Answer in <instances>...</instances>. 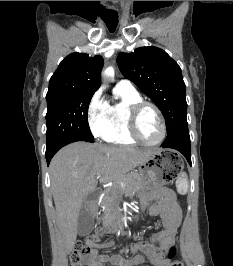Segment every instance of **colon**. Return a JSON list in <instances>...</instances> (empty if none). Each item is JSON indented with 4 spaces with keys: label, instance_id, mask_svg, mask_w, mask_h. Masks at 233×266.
I'll return each mask as SVG.
<instances>
[{
    "label": "colon",
    "instance_id": "obj_1",
    "mask_svg": "<svg viewBox=\"0 0 233 266\" xmlns=\"http://www.w3.org/2000/svg\"><path fill=\"white\" fill-rule=\"evenodd\" d=\"M103 232L98 230L95 231L90 236L86 237L84 240H80L76 243L75 249L70 257V264L71 266H82V256L89 253L91 246L98 242L102 237ZM175 255V248L171 246L167 249V257L169 259H173ZM169 266H184L183 263L179 260L171 261Z\"/></svg>",
    "mask_w": 233,
    "mask_h": 266
}]
</instances>
